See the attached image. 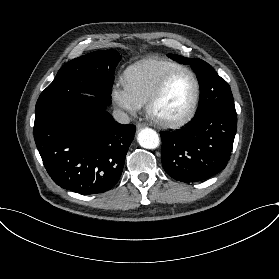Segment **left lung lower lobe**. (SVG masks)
<instances>
[{
  "instance_id": "obj_1",
  "label": "left lung lower lobe",
  "mask_w": 279,
  "mask_h": 279,
  "mask_svg": "<svg viewBox=\"0 0 279 279\" xmlns=\"http://www.w3.org/2000/svg\"><path fill=\"white\" fill-rule=\"evenodd\" d=\"M237 115L210 110L175 132H162V165L181 182H196L223 170L230 158Z\"/></svg>"
}]
</instances>
